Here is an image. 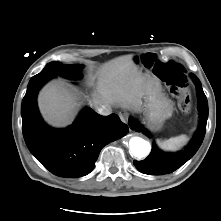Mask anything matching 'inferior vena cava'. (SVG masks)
Segmentation results:
<instances>
[{
    "label": "inferior vena cava",
    "instance_id": "602c4592",
    "mask_svg": "<svg viewBox=\"0 0 221 221\" xmlns=\"http://www.w3.org/2000/svg\"><path fill=\"white\" fill-rule=\"evenodd\" d=\"M96 110L101 115H109L111 113V107L109 105L97 106Z\"/></svg>",
    "mask_w": 221,
    "mask_h": 221
}]
</instances>
